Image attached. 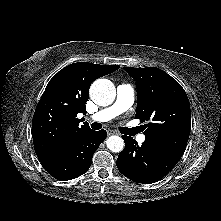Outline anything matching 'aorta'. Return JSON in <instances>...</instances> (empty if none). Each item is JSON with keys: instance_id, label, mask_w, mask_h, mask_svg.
<instances>
[{"instance_id": "1", "label": "aorta", "mask_w": 221, "mask_h": 221, "mask_svg": "<svg viewBox=\"0 0 221 221\" xmlns=\"http://www.w3.org/2000/svg\"><path fill=\"white\" fill-rule=\"evenodd\" d=\"M91 99L99 106H108L113 103L116 97L114 84L108 79H97L90 88ZM107 148L115 153L121 152L124 148V141L121 137L113 135L106 141Z\"/></svg>"}]
</instances>
